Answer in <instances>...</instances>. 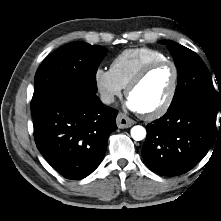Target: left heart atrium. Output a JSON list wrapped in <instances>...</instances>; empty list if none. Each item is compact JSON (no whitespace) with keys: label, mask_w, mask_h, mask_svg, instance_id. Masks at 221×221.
I'll list each match as a JSON object with an SVG mask.
<instances>
[{"label":"left heart atrium","mask_w":221,"mask_h":221,"mask_svg":"<svg viewBox=\"0 0 221 221\" xmlns=\"http://www.w3.org/2000/svg\"><path fill=\"white\" fill-rule=\"evenodd\" d=\"M127 106L133 110V111H138L140 112L139 108L137 107V105L135 104L134 101H132L131 99H129V101L127 102Z\"/></svg>","instance_id":"1"}]
</instances>
